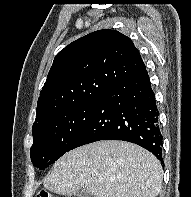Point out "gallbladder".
<instances>
[{
    "label": "gallbladder",
    "instance_id": "gallbladder-1",
    "mask_svg": "<svg viewBox=\"0 0 191 197\" xmlns=\"http://www.w3.org/2000/svg\"><path fill=\"white\" fill-rule=\"evenodd\" d=\"M75 197H93L90 193L84 191V190H79L76 193H74Z\"/></svg>",
    "mask_w": 191,
    "mask_h": 197
}]
</instances>
